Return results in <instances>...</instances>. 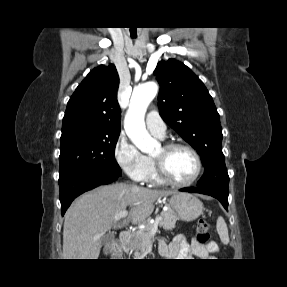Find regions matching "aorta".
Listing matches in <instances>:
<instances>
[{
  "instance_id": "1",
  "label": "aorta",
  "mask_w": 287,
  "mask_h": 287,
  "mask_svg": "<svg viewBox=\"0 0 287 287\" xmlns=\"http://www.w3.org/2000/svg\"><path fill=\"white\" fill-rule=\"evenodd\" d=\"M158 92L156 83L150 82L134 88L129 108L124 119V128L133 144L144 153H150L157 147L145 126V113Z\"/></svg>"
}]
</instances>
